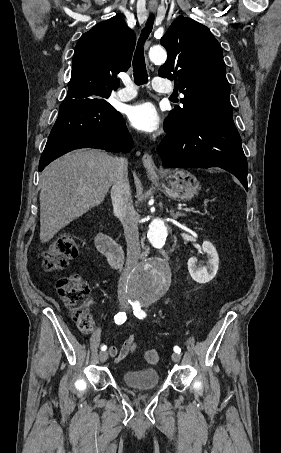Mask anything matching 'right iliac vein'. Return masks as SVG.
Returning a JSON list of instances; mask_svg holds the SVG:
<instances>
[{"label":"right iliac vein","instance_id":"63e3f726","mask_svg":"<svg viewBox=\"0 0 281 453\" xmlns=\"http://www.w3.org/2000/svg\"><path fill=\"white\" fill-rule=\"evenodd\" d=\"M100 356H101L100 358H101V359L103 360V362L105 363V361H107V358H108V356H109L108 351H104V352H103V351H102V352L100 351Z\"/></svg>","mask_w":281,"mask_h":453}]
</instances>
